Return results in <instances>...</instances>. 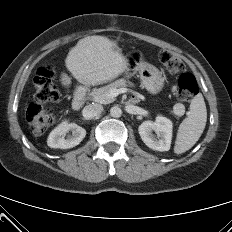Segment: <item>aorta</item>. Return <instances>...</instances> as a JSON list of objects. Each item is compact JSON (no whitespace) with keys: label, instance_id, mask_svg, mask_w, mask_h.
Wrapping results in <instances>:
<instances>
[{"label":"aorta","instance_id":"762f6f07","mask_svg":"<svg viewBox=\"0 0 232 232\" xmlns=\"http://www.w3.org/2000/svg\"><path fill=\"white\" fill-rule=\"evenodd\" d=\"M110 115L114 118H119L122 115V110L118 106H113L110 109Z\"/></svg>","mask_w":232,"mask_h":232}]
</instances>
